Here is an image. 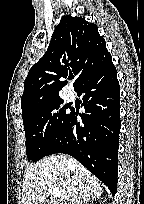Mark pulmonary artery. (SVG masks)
Masks as SVG:
<instances>
[{
	"label": "pulmonary artery",
	"mask_w": 144,
	"mask_h": 204,
	"mask_svg": "<svg viewBox=\"0 0 144 204\" xmlns=\"http://www.w3.org/2000/svg\"><path fill=\"white\" fill-rule=\"evenodd\" d=\"M72 97H73V94H72L71 92H68V93H67V98H68V99H72Z\"/></svg>",
	"instance_id": "1"
}]
</instances>
